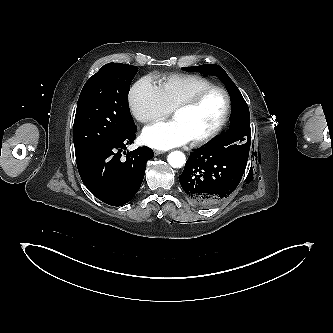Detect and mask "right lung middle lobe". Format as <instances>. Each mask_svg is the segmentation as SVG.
Wrapping results in <instances>:
<instances>
[{
	"label": "right lung middle lobe",
	"mask_w": 333,
	"mask_h": 333,
	"mask_svg": "<svg viewBox=\"0 0 333 333\" xmlns=\"http://www.w3.org/2000/svg\"><path fill=\"white\" fill-rule=\"evenodd\" d=\"M137 66L108 63L84 85L74 120L76 158L119 139L135 127L128 106Z\"/></svg>",
	"instance_id": "dd1d6c3e"
}]
</instances>
